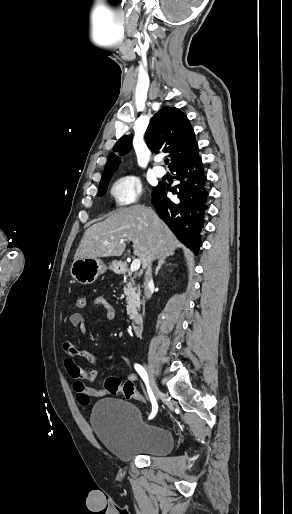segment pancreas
Wrapping results in <instances>:
<instances>
[{
	"label": "pancreas",
	"mask_w": 292,
	"mask_h": 514,
	"mask_svg": "<svg viewBox=\"0 0 292 514\" xmlns=\"http://www.w3.org/2000/svg\"><path fill=\"white\" fill-rule=\"evenodd\" d=\"M134 280L130 278V282L126 284L124 290V294L126 296L127 306V314L130 316V320H133L135 316H137V308L140 304V290L134 288Z\"/></svg>",
	"instance_id": "obj_1"
}]
</instances>
